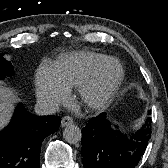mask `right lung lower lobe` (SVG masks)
<instances>
[{
	"label": "right lung lower lobe",
	"mask_w": 168,
	"mask_h": 168,
	"mask_svg": "<svg viewBox=\"0 0 168 168\" xmlns=\"http://www.w3.org/2000/svg\"><path fill=\"white\" fill-rule=\"evenodd\" d=\"M60 122L57 116L33 115L19 104L9 125L0 131V168H39L41 144Z\"/></svg>",
	"instance_id": "obj_1"
}]
</instances>
